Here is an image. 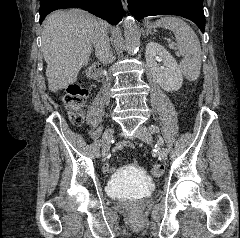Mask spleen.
I'll return each instance as SVG.
<instances>
[{
    "label": "spleen",
    "instance_id": "1",
    "mask_svg": "<svg viewBox=\"0 0 240 238\" xmlns=\"http://www.w3.org/2000/svg\"><path fill=\"white\" fill-rule=\"evenodd\" d=\"M157 26L171 30L177 41V48L183 55L180 68L190 81H195L200 75L201 47L198 37L193 29L182 19L164 17L156 21Z\"/></svg>",
    "mask_w": 240,
    "mask_h": 238
}]
</instances>
